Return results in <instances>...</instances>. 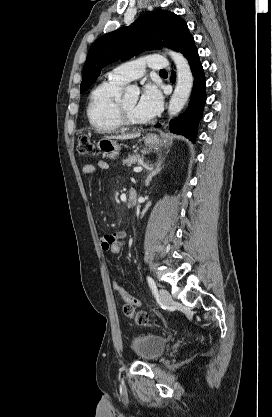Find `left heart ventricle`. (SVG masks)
<instances>
[{"label":"left heart ventricle","mask_w":272,"mask_h":417,"mask_svg":"<svg viewBox=\"0 0 272 417\" xmlns=\"http://www.w3.org/2000/svg\"><path fill=\"white\" fill-rule=\"evenodd\" d=\"M137 103L138 102L136 98L126 99L122 101L123 107L131 119L138 122L145 121L136 111Z\"/></svg>","instance_id":"left-heart-ventricle-1"}]
</instances>
